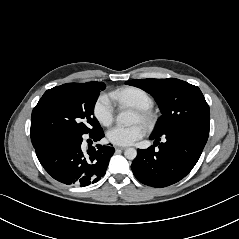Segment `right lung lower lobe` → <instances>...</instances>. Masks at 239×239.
Masks as SVG:
<instances>
[{"label":"right lung lower lobe","mask_w":239,"mask_h":239,"mask_svg":"<svg viewBox=\"0 0 239 239\" xmlns=\"http://www.w3.org/2000/svg\"><path fill=\"white\" fill-rule=\"evenodd\" d=\"M89 137L98 141L104 137L102 128L87 135L69 131L45 136L35 151L44 169L57 181L73 186L96 183L105 175L109 160L114 153L111 146L97 145L84 149L83 140Z\"/></svg>","instance_id":"right-lung-lower-lobe-1"}]
</instances>
